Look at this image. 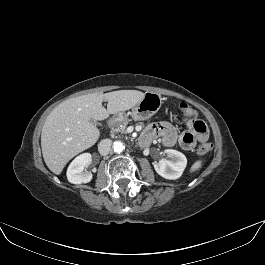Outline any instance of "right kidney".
<instances>
[{"mask_svg":"<svg viewBox=\"0 0 265 265\" xmlns=\"http://www.w3.org/2000/svg\"><path fill=\"white\" fill-rule=\"evenodd\" d=\"M92 162L90 153H83L77 156L67 169V179L70 183L81 184L89 183L92 180V173L87 170Z\"/></svg>","mask_w":265,"mask_h":265,"instance_id":"obj_1","label":"right kidney"}]
</instances>
